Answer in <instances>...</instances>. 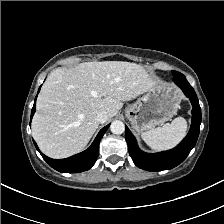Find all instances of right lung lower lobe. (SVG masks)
Masks as SVG:
<instances>
[{
	"mask_svg": "<svg viewBox=\"0 0 224 224\" xmlns=\"http://www.w3.org/2000/svg\"><path fill=\"white\" fill-rule=\"evenodd\" d=\"M35 109H36V98H35L34 106L32 108L31 118L34 115ZM108 127H109V125L105 126L104 128H102L100 130V132L96 136L94 142L87 150H85L82 153L71 156L69 158H66V159L56 160V159H51V158L45 156L44 154H42L40 152L35 141H33V142H34V145L37 148V150L42 155L43 159L52 168H54L55 170L62 172V173H64V172L78 173V172H83V171L89 170L95 164L97 157H98V153H99L100 140L103 137L106 130L108 129Z\"/></svg>",
	"mask_w": 224,
	"mask_h": 224,
	"instance_id": "right-lung-lower-lobe-1",
	"label": "right lung lower lobe"
}]
</instances>
